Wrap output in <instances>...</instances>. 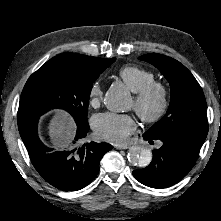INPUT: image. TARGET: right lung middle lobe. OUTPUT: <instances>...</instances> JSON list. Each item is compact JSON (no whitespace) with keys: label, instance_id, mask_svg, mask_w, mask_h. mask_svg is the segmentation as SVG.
<instances>
[{"label":"right lung middle lobe","instance_id":"dd1d6c3e","mask_svg":"<svg viewBox=\"0 0 221 221\" xmlns=\"http://www.w3.org/2000/svg\"><path fill=\"white\" fill-rule=\"evenodd\" d=\"M114 61L115 58H98L83 73L65 71L55 63L46 62L24 86L18 109V125L38 119L54 108L68 111L77 124H87L92 84Z\"/></svg>","mask_w":221,"mask_h":221}]
</instances>
